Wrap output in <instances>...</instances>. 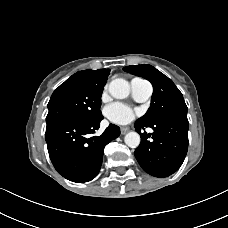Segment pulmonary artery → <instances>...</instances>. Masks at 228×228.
<instances>
[{
  "instance_id": "1",
  "label": "pulmonary artery",
  "mask_w": 228,
  "mask_h": 228,
  "mask_svg": "<svg viewBox=\"0 0 228 228\" xmlns=\"http://www.w3.org/2000/svg\"><path fill=\"white\" fill-rule=\"evenodd\" d=\"M131 91L135 100L144 102L148 100L153 92L152 85L143 79L134 78L131 80Z\"/></svg>"
}]
</instances>
